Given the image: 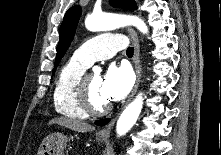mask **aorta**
Listing matches in <instances>:
<instances>
[{"instance_id":"1","label":"aorta","mask_w":221,"mask_h":155,"mask_svg":"<svg viewBox=\"0 0 221 155\" xmlns=\"http://www.w3.org/2000/svg\"><path fill=\"white\" fill-rule=\"evenodd\" d=\"M124 25H133L143 34L148 33V28L144 21L136 16L99 14L90 15L85 20L86 28L92 32L110 31ZM143 101V94L139 93L121 113L116 125L118 136L126 134L136 123L143 107Z\"/></svg>"}]
</instances>
